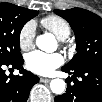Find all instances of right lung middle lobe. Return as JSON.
I'll use <instances>...</instances> for the list:
<instances>
[{
  "instance_id": "dd1d6c3e",
  "label": "right lung middle lobe",
  "mask_w": 102,
  "mask_h": 102,
  "mask_svg": "<svg viewBox=\"0 0 102 102\" xmlns=\"http://www.w3.org/2000/svg\"><path fill=\"white\" fill-rule=\"evenodd\" d=\"M37 15L36 10L11 3H0V62L9 63L21 57L19 42L21 29Z\"/></svg>"
}]
</instances>
